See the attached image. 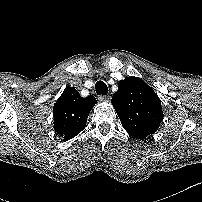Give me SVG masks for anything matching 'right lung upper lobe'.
Instances as JSON below:
<instances>
[{
  "instance_id": "right-lung-upper-lobe-1",
  "label": "right lung upper lobe",
  "mask_w": 202,
  "mask_h": 202,
  "mask_svg": "<svg viewBox=\"0 0 202 202\" xmlns=\"http://www.w3.org/2000/svg\"><path fill=\"white\" fill-rule=\"evenodd\" d=\"M96 102L92 95L82 98L75 88H66L53 107L56 133L65 140L78 135L85 128L88 115Z\"/></svg>"
}]
</instances>
